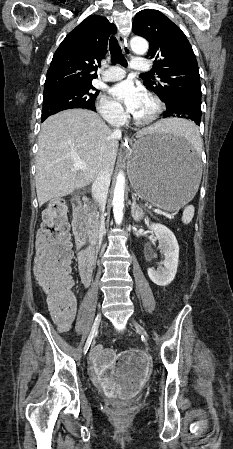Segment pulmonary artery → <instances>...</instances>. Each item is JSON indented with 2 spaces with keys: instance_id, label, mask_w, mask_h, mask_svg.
Returning a JSON list of instances; mask_svg holds the SVG:
<instances>
[{
  "instance_id": "1",
  "label": "pulmonary artery",
  "mask_w": 233,
  "mask_h": 449,
  "mask_svg": "<svg viewBox=\"0 0 233 449\" xmlns=\"http://www.w3.org/2000/svg\"><path fill=\"white\" fill-rule=\"evenodd\" d=\"M130 67L135 71H146L149 69L148 63L141 58H135L131 62ZM124 77H125V70L123 68L119 66H112L107 71H105L102 78L104 81L111 82L121 80Z\"/></svg>"
}]
</instances>
